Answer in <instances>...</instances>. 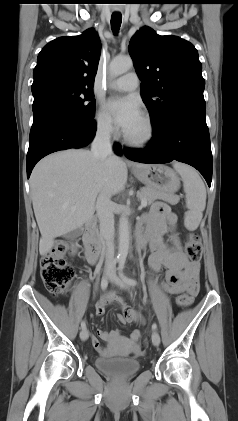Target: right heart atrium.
<instances>
[{"instance_id": "right-heart-atrium-1", "label": "right heart atrium", "mask_w": 238, "mask_h": 421, "mask_svg": "<svg viewBox=\"0 0 238 421\" xmlns=\"http://www.w3.org/2000/svg\"><path fill=\"white\" fill-rule=\"evenodd\" d=\"M95 124L98 133L105 137H112L116 133L112 120L102 109H99L95 114Z\"/></svg>"}]
</instances>
